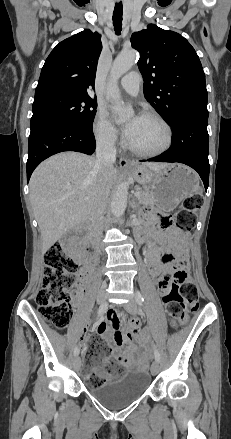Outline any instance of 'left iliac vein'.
<instances>
[{"label":"left iliac vein","mask_w":231,"mask_h":439,"mask_svg":"<svg viewBox=\"0 0 231 439\" xmlns=\"http://www.w3.org/2000/svg\"><path fill=\"white\" fill-rule=\"evenodd\" d=\"M124 308L126 309L127 312H129L132 315H136L138 313L137 301L134 299H131L128 303H126L124 305ZM159 370H160V364L158 361L155 360L151 366V374L156 375L158 374Z\"/></svg>","instance_id":"4c4485c4"}]
</instances>
